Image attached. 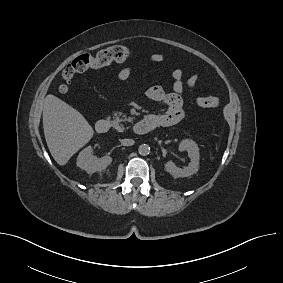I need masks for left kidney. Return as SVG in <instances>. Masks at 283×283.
I'll return each mask as SVG.
<instances>
[{"instance_id": "5707ae66", "label": "left kidney", "mask_w": 283, "mask_h": 283, "mask_svg": "<svg viewBox=\"0 0 283 283\" xmlns=\"http://www.w3.org/2000/svg\"><path fill=\"white\" fill-rule=\"evenodd\" d=\"M180 151H187L190 157V163L184 169L178 168L172 161L165 164V170L169 172L174 178L189 177L197 173L199 169V148L197 144L190 139L183 140L179 145Z\"/></svg>"}]
</instances>
